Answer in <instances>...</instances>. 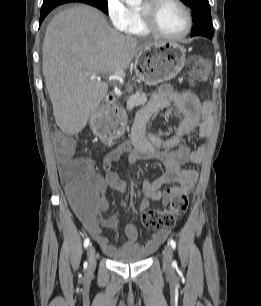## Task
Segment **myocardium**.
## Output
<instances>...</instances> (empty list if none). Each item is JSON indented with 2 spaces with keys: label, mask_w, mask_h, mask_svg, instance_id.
I'll return each mask as SVG.
<instances>
[{
  "label": "myocardium",
  "mask_w": 261,
  "mask_h": 306,
  "mask_svg": "<svg viewBox=\"0 0 261 306\" xmlns=\"http://www.w3.org/2000/svg\"><path fill=\"white\" fill-rule=\"evenodd\" d=\"M166 0H144L139 6V10L143 19L145 27L155 36L164 38L167 40H181L185 38L192 29V15L191 11L182 0H170L177 4L183 11L186 19V26L184 31L178 35H169L159 29L155 20V13L158 6Z\"/></svg>",
  "instance_id": "1"
}]
</instances>
